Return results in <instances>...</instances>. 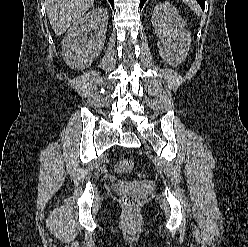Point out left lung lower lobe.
<instances>
[{"mask_svg": "<svg viewBox=\"0 0 248 247\" xmlns=\"http://www.w3.org/2000/svg\"><path fill=\"white\" fill-rule=\"evenodd\" d=\"M146 0H140V10L142 9L144 3ZM199 5L201 6L202 10H204V6H205V0H196Z\"/></svg>", "mask_w": 248, "mask_h": 247, "instance_id": "1", "label": "left lung lower lobe"}]
</instances>
